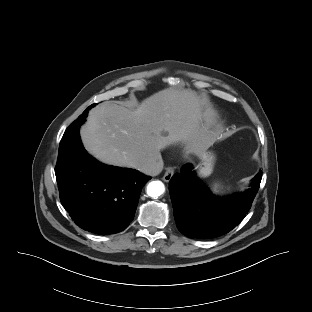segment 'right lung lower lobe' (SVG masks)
<instances>
[{
	"label": "right lung lower lobe",
	"instance_id": "98d812e1",
	"mask_svg": "<svg viewBox=\"0 0 312 312\" xmlns=\"http://www.w3.org/2000/svg\"><path fill=\"white\" fill-rule=\"evenodd\" d=\"M55 173L63 207L80 228L100 235L129 225L142 187L151 179L133 169L100 163L83 148L79 132L59 152Z\"/></svg>",
	"mask_w": 312,
	"mask_h": 312
}]
</instances>
